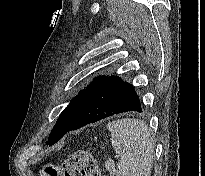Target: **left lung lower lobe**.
<instances>
[{
	"instance_id": "left-lung-lower-lobe-1",
	"label": "left lung lower lobe",
	"mask_w": 205,
	"mask_h": 176,
	"mask_svg": "<svg viewBox=\"0 0 205 176\" xmlns=\"http://www.w3.org/2000/svg\"><path fill=\"white\" fill-rule=\"evenodd\" d=\"M129 111L142 112L138 95L132 85L110 76L97 91L82 100L66 133Z\"/></svg>"
}]
</instances>
